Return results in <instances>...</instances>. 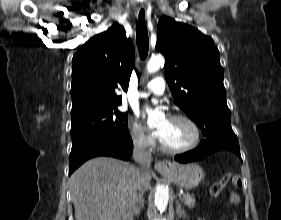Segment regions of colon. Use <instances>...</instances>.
<instances>
[{"label": "colon", "instance_id": "5ec220e1", "mask_svg": "<svg viewBox=\"0 0 281 220\" xmlns=\"http://www.w3.org/2000/svg\"><path fill=\"white\" fill-rule=\"evenodd\" d=\"M229 181L232 183L234 188H237L240 186L241 179L236 174L226 173L221 179L212 184L210 187V195L213 198L218 197ZM231 200L234 204H237L239 201L237 194L233 193L231 195ZM234 220H237L236 216H234Z\"/></svg>", "mask_w": 281, "mask_h": 220}]
</instances>
